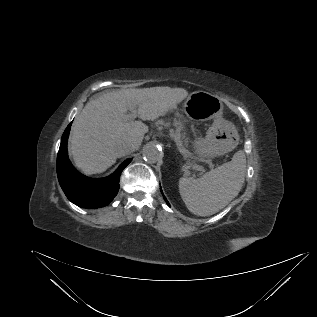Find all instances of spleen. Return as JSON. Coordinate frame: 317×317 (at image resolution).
Here are the masks:
<instances>
[{"label":"spleen","instance_id":"3e777b00","mask_svg":"<svg viewBox=\"0 0 317 317\" xmlns=\"http://www.w3.org/2000/svg\"><path fill=\"white\" fill-rule=\"evenodd\" d=\"M246 171L243 151L234 154L230 162L224 163L198 179L182 177L179 192L190 212L198 216H209L226 207L241 190Z\"/></svg>","mask_w":317,"mask_h":317}]
</instances>
